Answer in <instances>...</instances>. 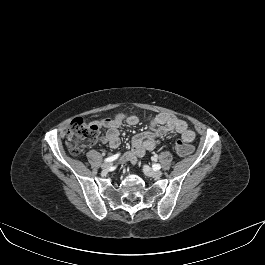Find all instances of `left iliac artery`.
<instances>
[{
  "label": "left iliac artery",
  "instance_id": "1",
  "mask_svg": "<svg viewBox=\"0 0 265 265\" xmlns=\"http://www.w3.org/2000/svg\"><path fill=\"white\" fill-rule=\"evenodd\" d=\"M155 160H157V158L155 157ZM161 168L160 164H154L153 165V169L154 170H159Z\"/></svg>",
  "mask_w": 265,
  "mask_h": 265
}]
</instances>
